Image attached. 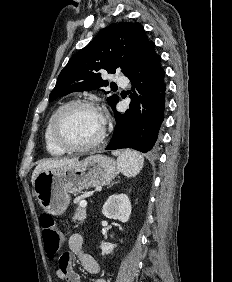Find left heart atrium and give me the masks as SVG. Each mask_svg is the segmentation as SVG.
Returning <instances> with one entry per match:
<instances>
[{
  "instance_id": "obj_1",
  "label": "left heart atrium",
  "mask_w": 232,
  "mask_h": 282,
  "mask_svg": "<svg viewBox=\"0 0 232 282\" xmlns=\"http://www.w3.org/2000/svg\"><path fill=\"white\" fill-rule=\"evenodd\" d=\"M102 123H103V118L101 117Z\"/></svg>"
}]
</instances>
